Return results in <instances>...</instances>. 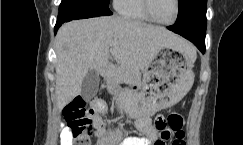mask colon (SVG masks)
<instances>
[{
    "mask_svg": "<svg viewBox=\"0 0 243 145\" xmlns=\"http://www.w3.org/2000/svg\"><path fill=\"white\" fill-rule=\"evenodd\" d=\"M93 115V109L87 108L83 99H74L64 107L63 116L67 126L74 138L78 139L77 142L74 141V145H90L88 137L93 133V128L96 131ZM183 125V116L176 112L169 113L166 119L158 117L155 120V128L160 133L161 138H165L171 133L170 130L175 132V140L172 145H186Z\"/></svg>",
    "mask_w": 243,
    "mask_h": 145,
    "instance_id": "obj_1",
    "label": "colon"
}]
</instances>
